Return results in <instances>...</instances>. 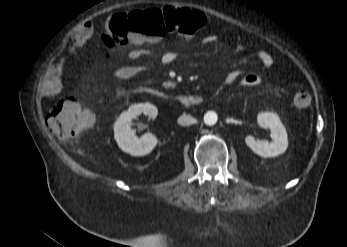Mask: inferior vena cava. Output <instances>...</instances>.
Here are the masks:
<instances>
[{"instance_id": "1", "label": "inferior vena cava", "mask_w": 347, "mask_h": 247, "mask_svg": "<svg viewBox=\"0 0 347 247\" xmlns=\"http://www.w3.org/2000/svg\"><path fill=\"white\" fill-rule=\"evenodd\" d=\"M196 119L193 118L192 116L189 115H182L178 118V124L182 125V126H188L191 124L196 123Z\"/></svg>"}]
</instances>
